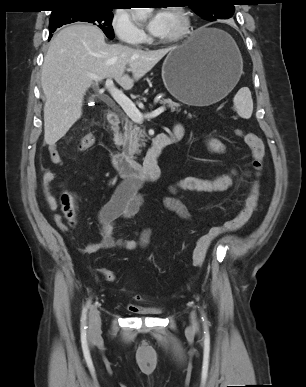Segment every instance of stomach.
Segmentation results:
<instances>
[{
    "label": "stomach",
    "mask_w": 306,
    "mask_h": 387,
    "mask_svg": "<svg viewBox=\"0 0 306 387\" xmlns=\"http://www.w3.org/2000/svg\"><path fill=\"white\" fill-rule=\"evenodd\" d=\"M242 68V56L232 37L220 29L203 27L169 52L162 79L179 101L208 106L235 87Z\"/></svg>",
    "instance_id": "0dacf381"
}]
</instances>
